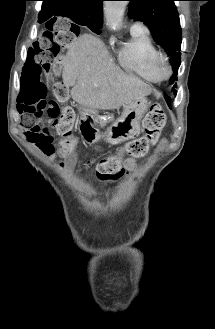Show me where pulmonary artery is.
Returning a JSON list of instances; mask_svg holds the SVG:
<instances>
[{"instance_id":"obj_1","label":"pulmonary artery","mask_w":215,"mask_h":329,"mask_svg":"<svg viewBox=\"0 0 215 329\" xmlns=\"http://www.w3.org/2000/svg\"><path fill=\"white\" fill-rule=\"evenodd\" d=\"M131 31H146V28L142 23L134 22L131 26Z\"/></svg>"}]
</instances>
